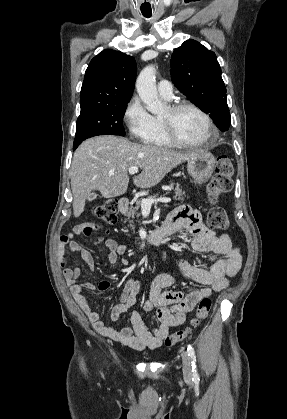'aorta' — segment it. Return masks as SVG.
<instances>
[{
  "label": "aorta",
  "instance_id": "aorta-1",
  "mask_svg": "<svg viewBox=\"0 0 287 419\" xmlns=\"http://www.w3.org/2000/svg\"><path fill=\"white\" fill-rule=\"evenodd\" d=\"M155 75V66L148 65L143 68L137 78L136 89L148 111L152 114H159L164 107L158 98Z\"/></svg>",
  "mask_w": 287,
  "mask_h": 419
}]
</instances>
